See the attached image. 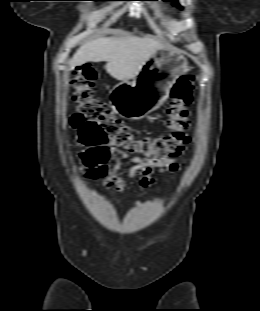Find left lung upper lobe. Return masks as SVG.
<instances>
[{
	"mask_svg": "<svg viewBox=\"0 0 260 311\" xmlns=\"http://www.w3.org/2000/svg\"><path fill=\"white\" fill-rule=\"evenodd\" d=\"M164 1H170V0H164ZM173 5L176 6V7L182 8V7L177 3V0H174Z\"/></svg>",
	"mask_w": 260,
	"mask_h": 311,
	"instance_id": "1",
	"label": "left lung upper lobe"
}]
</instances>
